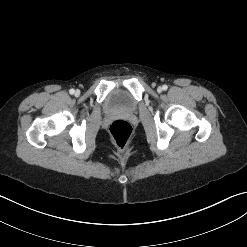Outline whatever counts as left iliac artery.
<instances>
[{"label":"left iliac artery","mask_w":247,"mask_h":247,"mask_svg":"<svg viewBox=\"0 0 247 247\" xmlns=\"http://www.w3.org/2000/svg\"><path fill=\"white\" fill-rule=\"evenodd\" d=\"M162 89H163V90H167V89H168V86H167V85H163V86H162Z\"/></svg>","instance_id":"obj_1"}]
</instances>
